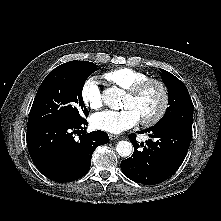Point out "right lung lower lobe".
Returning <instances> with one entry per match:
<instances>
[{
	"label": "right lung lower lobe",
	"instance_id": "obj_1",
	"mask_svg": "<svg viewBox=\"0 0 221 221\" xmlns=\"http://www.w3.org/2000/svg\"><path fill=\"white\" fill-rule=\"evenodd\" d=\"M87 121L50 122L27 126V146L37 169L56 182L83 177L90 169L92 153L109 142L104 131L86 133ZM84 129V130H83ZM79 136V141L75 135Z\"/></svg>",
	"mask_w": 221,
	"mask_h": 221
}]
</instances>
